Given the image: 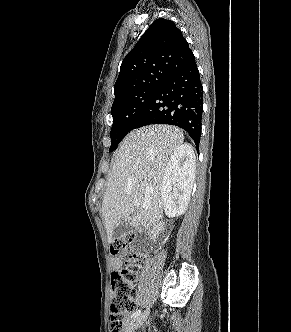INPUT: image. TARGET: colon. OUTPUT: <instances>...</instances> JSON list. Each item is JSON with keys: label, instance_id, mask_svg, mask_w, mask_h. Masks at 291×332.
Here are the masks:
<instances>
[{"label": "colon", "instance_id": "colon-1", "mask_svg": "<svg viewBox=\"0 0 291 332\" xmlns=\"http://www.w3.org/2000/svg\"><path fill=\"white\" fill-rule=\"evenodd\" d=\"M134 236L116 239L110 246L113 255L121 258L125 267L111 274L113 297L110 305V332H122L130 312L135 309L134 284L142 256L133 246Z\"/></svg>", "mask_w": 291, "mask_h": 332}]
</instances>
